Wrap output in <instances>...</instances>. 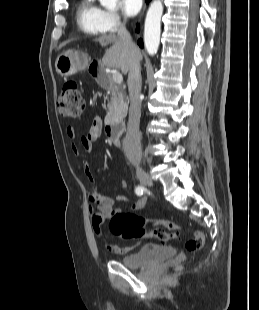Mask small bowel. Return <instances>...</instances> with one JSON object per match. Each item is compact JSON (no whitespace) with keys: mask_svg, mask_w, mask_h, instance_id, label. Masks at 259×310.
Segmentation results:
<instances>
[{"mask_svg":"<svg viewBox=\"0 0 259 310\" xmlns=\"http://www.w3.org/2000/svg\"><path fill=\"white\" fill-rule=\"evenodd\" d=\"M102 119L100 117H95L88 129V131L80 137L79 144L72 143L71 150L75 155L80 152V147L86 152L90 153L93 150L94 144L100 137L102 132ZM66 134L69 139H74L76 137V132L73 127H67ZM84 173L88 178L91 185V193L88 197V209L91 215V222L93 229L98 236L101 243L111 251L116 254L126 255L131 250L130 246H119L110 242L105 234L104 223L107 219L111 218L115 213L120 212L115 208V200L110 196L101 194L98 191V184L95 180L93 172L91 170L88 161L84 162ZM121 187L125 188V183H121ZM148 200L146 197H141L136 202L130 205V209L133 211L141 210L147 206Z\"/></svg>","mask_w":259,"mask_h":310,"instance_id":"1","label":"small bowel"}]
</instances>
